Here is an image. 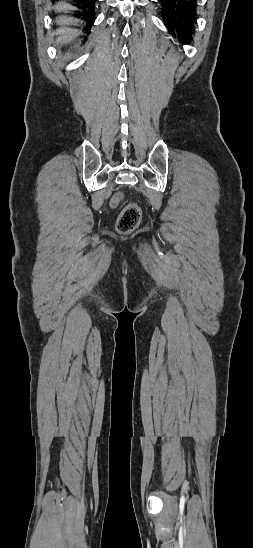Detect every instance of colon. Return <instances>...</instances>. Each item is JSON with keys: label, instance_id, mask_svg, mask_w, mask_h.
Wrapping results in <instances>:
<instances>
[{"label": "colon", "instance_id": "obj_1", "mask_svg": "<svg viewBox=\"0 0 253 548\" xmlns=\"http://www.w3.org/2000/svg\"><path fill=\"white\" fill-rule=\"evenodd\" d=\"M141 219V208L136 203H130L120 213L116 229L120 234H129L139 226Z\"/></svg>", "mask_w": 253, "mask_h": 548}]
</instances>
